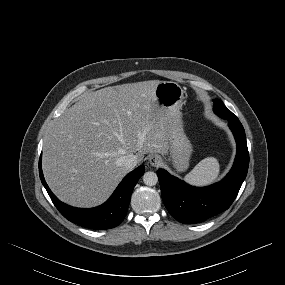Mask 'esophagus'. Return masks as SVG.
<instances>
[{
    "instance_id": "obj_1",
    "label": "esophagus",
    "mask_w": 285,
    "mask_h": 285,
    "mask_svg": "<svg viewBox=\"0 0 285 285\" xmlns=\"http://www.w3.org/2000/svg\"><path fill=\"white\" fill-rule=\"evenodd\" d=\"M161 163H162V159H161L160 156H158V155H152V156H150V158H149V164H150L151 166L157 167V166L161 165Z\"/></svg>"
}]
</instances>
